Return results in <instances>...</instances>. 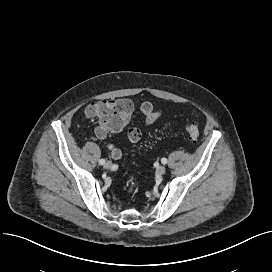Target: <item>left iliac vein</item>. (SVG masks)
<instances>
[{
    "label": "left iliac vein",
    "instance_id": "obj_1",
    "mask_svg": "<svg viewBox=\"0 0 272 272\" xmlns=\"http://www.w3.org/2000/svg\"><path fill=\"white\" fill-rule=\"evenodd\" d=\"M166 172V168L163 165H160L156 168V173L158 175H163Z\"/></svg>",
    "mask_w": 272,
    "mask_h": 272
}]
</instances>
